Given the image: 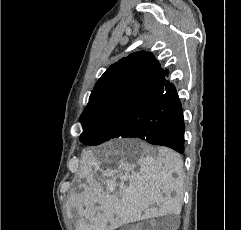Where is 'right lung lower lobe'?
Here are the masks:
<instances>
[{
    "label": "right lung lower lobe",
    "mask_w": 241,
    "mask_h": 230,
    "mask_svg": "<svg viewBox=\"0 0 241 230\" xmlns=\"http://www.w3.org/2000/svg\"><path fill=\"white\" fill-rule=\"evenodd\" d=\"M144 117L150 122L149 126L132 133L131 136L153 145L170 147L179 153L184 152V117L173 84L164 79L160 93L152 100ZM123 135L125 134L121 136Z\"/></svg>",
    "instance_id": "1"
}]
</instances>
